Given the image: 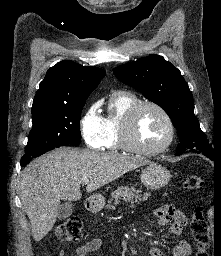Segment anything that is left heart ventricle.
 <instances>
[{"label": "left heart ventricle", "mask_w": 221, "mask_h": 256, "mask_svg": "<svg viewBox=\"0 0 221 256\" xmlns=\"http://www.w3.org/2000/svg\"><path fill=\"white\" fill-rule=\"evenodd\" d=\"M135 133L141 145L156 148L166 140L168 127L164 117L156 109L146 107L137 117Z\"/></svg>", "instance_id": "b2bd125f"}]
</instances>
